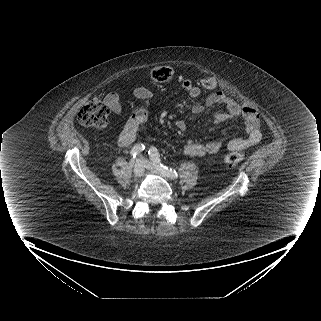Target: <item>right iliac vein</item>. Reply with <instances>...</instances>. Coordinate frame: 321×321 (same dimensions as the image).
I'll use <instances>...</instances> for the list:
<instances>
[{
    "mask_svg": "<svg viewBox=\"0 0 321 321\" xmlns=\"http://www.w3.org/2000/svg\"><path fill=\"white\" fill-rule=\"evenodd\" d=\"M134 162L131 161V164H133ZM134 176L135 177H140L143 175L144 173V165L141 162V160H137L134 164V170H133Z\"/></svg>",
    "mask_w": 321,
    "mask_h": 321,
    "instance_id": "63e3f726",
    "label": "right iliac vein"
}]
</instances>
